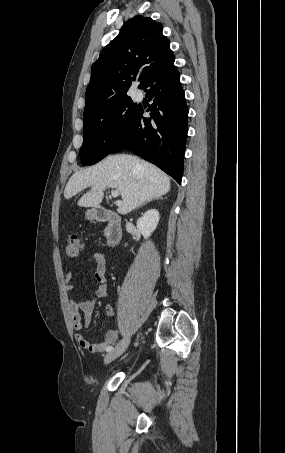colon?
I'll return each mask as SVG.
<instances>
[{"instance_id":"colon-1","label":"colon","mask_w":285,"mask_h":453,"mask_svg":"<svg viewBox=\"0 0 285 453\" xmlns=\"http://www.w3.org/2000/svg\"><path fill=\"white\" fill-rule=\"evenodd\" d=\"M83 251V243L78 234H71L65 244V252L69 258L78 257Z\"/></svg>"}]
</instances>
